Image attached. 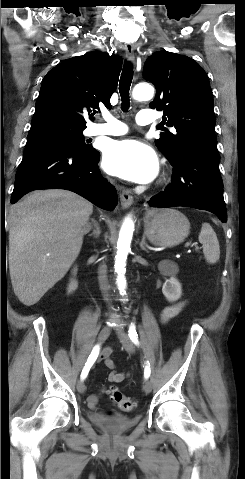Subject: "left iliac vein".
<instances>
[{"label": "left iliac vein", "instance_id": "obj_1", "mask_svg": "<svg viewBox=\"0 0 245 479\" xmlns=\"http://www.w3.org/2000/svg\"><path fill=\"white\" fill-rule=\"evenodd\" d=\"M116 333H117V336H118L120 342L122 343L124 349L128 353H133L135 351L134 345H133L131 339L129 338L128 334L125 332L124 328L122 326H118L116 328ZM143 390L145 391V393H150L151 392L152 383L149 380H147L144 383Z\"/></svg>", "mask_w": 245, "mask_h": 479}]
</instances>
